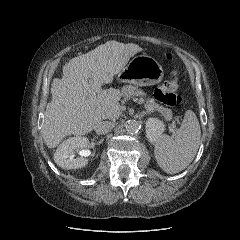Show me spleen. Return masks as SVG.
<instances>
[{
	"label": "spleen",
	"instance_id": "1",
	"mask_svg": "<svg viewBox=\"0 0 240 240\" xmlns=\"http://www.w3.org/2000/svg\"><path fill=\"white\" fill-rule=\"evenodd\" d=\"M199 121L192 110H187L174 136L162 135L154 145L158 165L170 174L184 170L194 159L200 144Z\"/></svg>",
	"mask_w": 240,
	"mask_h": 240
}]
</instances>
